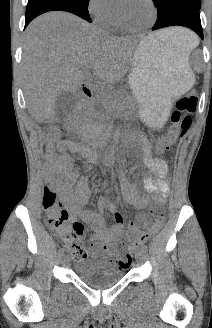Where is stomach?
I'll return each instance as SVG.
<instances>
[{
  "label": "stomach",
  "instance_id": "obj_1",
  "mask_svg": "<svg viewBox=\"0 0 212 328\" xmlns=\"http://www.w3.org/2000/svg\"><path fill=\"white\" fill-rule=\"evenodd\" d=\"M188 56L169 41L143 39L135 49L129 84L141 115L153 127H161L174 99L194 84Z\"/></svg>",
  "mask_w": 212,
  "mask_h": 328
}]
</instances>
